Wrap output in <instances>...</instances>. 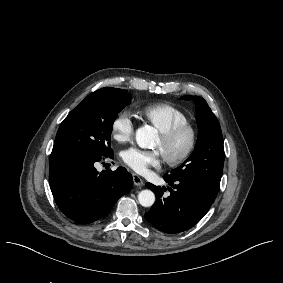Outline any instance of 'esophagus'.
I'll return each mask as SVG.
<instances>
[{"label": "esophagus", "mask_w": 283, "mask_h": 283, "mask_svg": "<svg viewBox=\"0 0 283 283\" xmlns=\"http://www.w3.org/2000/svg\"><path fill=\"white\" fill-rule=\"evenodd\" d=\"M133 183L136 186H142L144 184V181L140 178V176H138L137 174L133 173Z\"/></svg>", "instance_id": "obj_1"}]
</instances>
